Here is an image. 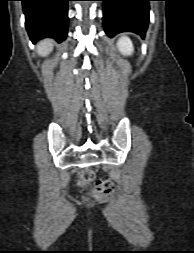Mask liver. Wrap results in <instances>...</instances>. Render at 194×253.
I'll return each mask as SVG.
<instances>
[{
	"label": "liver",
	"instance_id": "liver-1",
	"mask_svg": "<svg viewBox=\"0 0 194 253\" xmlns=\"http://www.w3.org/2000/svg\"><path fill=\"white\" fill-rule=\"evenodd\" d=\"M53 49V44L52 41L49 39H45L41 42H39V44L37 45V53L40 56H46L48 55Z\"/></svg>",
	"mask_w": 194,
	"mask_h": 253
}]
</instances>
